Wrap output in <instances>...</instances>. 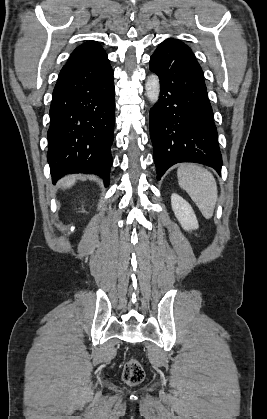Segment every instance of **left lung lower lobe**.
Segmentation results:
<instances>
[{"label": "left lung lower lobe", "mask_w": 267, "mask_h": 419, "mask_svg": "<svg viewBox=\"0 0 267 419\" xmlns=\"http://www.w3.org/2000/svg\"><path fill=\"white\" fill-rule=\"evenodd\" d=\"M160 97L150 110V137L157 179L179 162L201 163L219 174L222 156L203 71L179 40L163 41L150 58Z\"/></svg>", "instance_id": "0a47b994"}]
</instances>
